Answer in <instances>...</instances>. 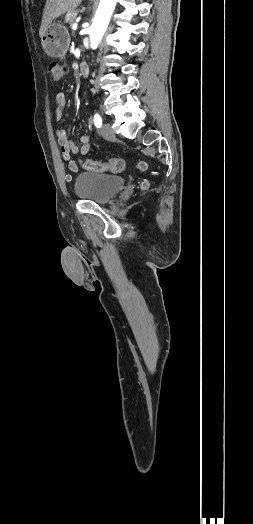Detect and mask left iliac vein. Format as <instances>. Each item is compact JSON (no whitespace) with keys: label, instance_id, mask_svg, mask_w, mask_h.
I'll use <instances>...</instances> for the list:
<instances>
[{"label":"left iliac vein","instance_id":"obj_1","mask_svg":"<svg viewBox=\"0 0 253 524\" xmlns=\"http://www.w3.org/2000/svg\"><path fill=\"white\" fill-rule=\"evenodd\" d=\"M101 134L105 139H112L115 137V133L110 123H104L101 129Z\"/></svg>","mask_w":253,"mask_h":524}]
</instances>
